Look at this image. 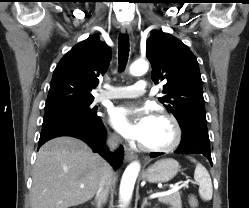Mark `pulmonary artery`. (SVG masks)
<instances>
[{"label": "pulmonary artery", "mask_w": 249, "mask_h": 208, "mask_svg": "<svg viewBox=\"0 0 249 208\" xmlns=\"http://www.w3.org/2000/svg\"><path fill=\"white\" fill-rule=\"evenodd\" d=\"M147 90V82L142 79L137 81L134 85L114 87L108 92L100 94L97 97V100L104 101L109 99L137 98L142 96Z\"/></svg>", "instance_id": "e3ab8cb5"}]
</instances>
